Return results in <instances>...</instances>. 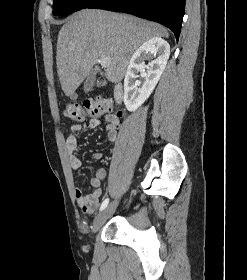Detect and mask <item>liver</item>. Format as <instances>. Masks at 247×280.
Segmentation results:
<instances>
[{
    "label": "liver",
    "instance_id": "obj_1",
    "mask_svg": "<svg viewBox=\"0 0 247 280\" xmlns=\"http://www.w3.org/2000/svg\"><path fill=\"white\" fill-rule=\"evenodd\" d=\"M168 36L161 25L131 15L95 9L75 13L58 34L56 64L62 90L72 98L101 57L109 58L106 78L120 82L141 44L153 37Z\"/></svg>",
    "mask_w": 247,
    "mask_h": 280
}]
</instances>
